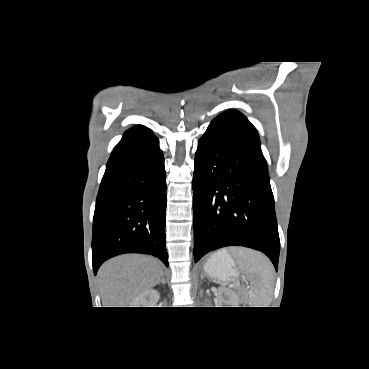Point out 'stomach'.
Here are the masks:
<instances>
[{"mask_svg": "<svg viewBox=\"0 0 369 369\" xmlns=\"http://www.w3.org/2000/svg\"><path fill=\"white\" fill-rule=\"evenodd\" d=\"M205 272L221 281H232L239 276L236 265L225 249L214 253L204 264Z\"/></svg>", "mask_w": 369, "mask_h": 369, "instance_id": "stomach-1", "label": "stomach"}]
</instances>
